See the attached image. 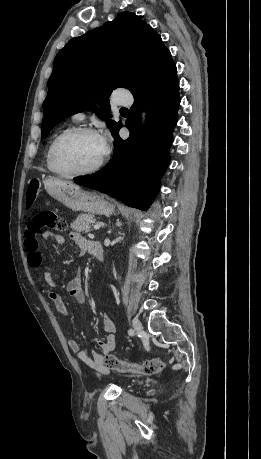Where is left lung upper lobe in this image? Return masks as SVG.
<instances>
[{"mask_svg":"<svg viewBox=\"0 0 261 459\" xmlns=\"http://www.w3.org/2000/svg\"><path fill=\"white\" fill-rule=\"evenodd\" d=\"M172 62L160 35L131 12H122L113 21L73 38L54 60L43 104L41 138L56 123L85 109L101 119L111 117L107 97L114 89L124 87L136 94ZM106 122L113 136L122 125L110 119Z\"/></svg>","mask_w":261,"mask_h":459,"instance_id":"left-lung-upper-lobe-1","label":"left lung upper lobe"}]
</instances>
